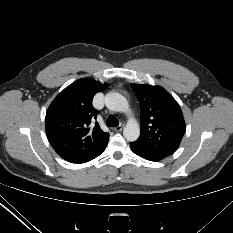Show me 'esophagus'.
<instances>
[{"label":"esophagus","instance_id":"esophagus-1","mask_svg":"<svg viewBox=\"0 0 233 233\" xmlns=\"http://www.w3.org/2000/svg\"><path fill=\"white\" fill-rule=\"evenodd\" d=\"M124 128V124H120L119 126L114 128V131L119 132Z\"/></svg>","mask_w":233,"mask_h":233}]
</instances>
